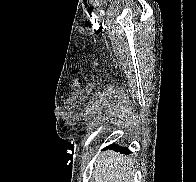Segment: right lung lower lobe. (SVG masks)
Here are the masks:
<instances>
[{"mask_svg":"<svg viewBox=\"0 0 196 182\" xmlns=\"http://www.w3.org/2000/svg\"><path fill=\"white\" fill-rule=\"evenodd\" d=\"M109 147L114 148V149L120 151L121 153H125V154H130L131 153V151L128 148L121 147V146H116L114 143L111 144Z\"/></svg>","mask_w":196,"mask_h":182,"instance_id":"obj_1","label":"right lung lower lobe"}]
</instances>
